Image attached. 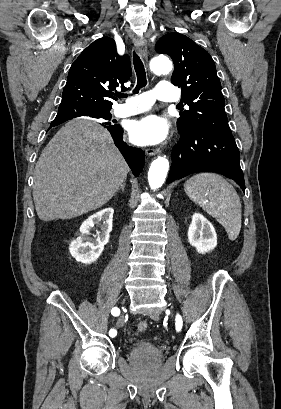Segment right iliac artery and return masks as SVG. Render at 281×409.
Listing matches in <instances>:
<instances>
[{
  "label": "right iliac artery",
  "mask_w": 281,
  "mask_h": 409,
  "mask_svg": "<svg viewBox=\"0 0 281 409\" xmlns=\"http://www.w3.org/2000/svg\"><path fill=\"white\" fill-rule=\"evenodd\" d=\"M111 313H112L113 316H118V315L120 314V310H119L117 307H114V308L111 310ZM109 335H110L111 337L116 336V330L111 329V330L109 331Z\"/></svg>",
  "instance_id": "obj_1"
}]
</instances>
